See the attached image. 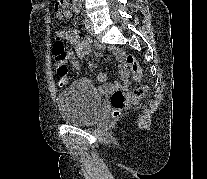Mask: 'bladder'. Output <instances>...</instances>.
Wrapping results in <instances>:
<instances>
[{
    "mask_svg": "<svg viewBox=\"0 0 207 179\" xmlns=\"http://www.w3.org/2000/svg\"><path fill=\"white\" fill-rule=\"evenodd\" d=\"M63 120L71 125H88L99 118L102 99L88 80H78L56 97Z\"/></svg>",
    "mask_w": 207,
    "mask_h": 179,
    "instance_id": "obj_1",
    "label": "bladder"
}]
</instances>
